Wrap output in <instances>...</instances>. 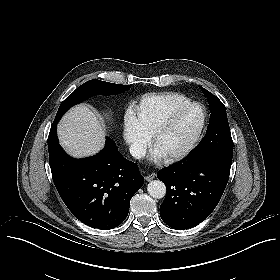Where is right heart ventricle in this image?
Segmentation results:
<instances>
[{"label": "right heart ventricle", "mask_w": 280, "mask_h": 280, "mask_svg": "<svg viewBox=\"0 0 280 280\" xmlns=\"http://www.w3.org/2000/svg\"><path fill=\"white\" fill-rule=\"evenodd\" d=\"M162 102L165 107L178 108L187 102V97L183 95H170L164 97Z\"/></svg>", "instance_id": "right-heart-ventricle-1"}]
</instances>
